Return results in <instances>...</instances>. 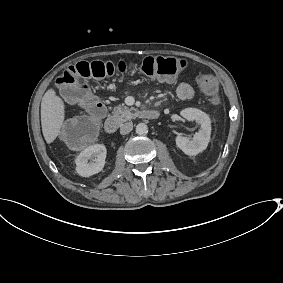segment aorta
<instances>
[{
  "mask_svg": "<svg viewBox=\"0 0 283 283\" xmlns=\"http://www.w3.org/2000/svg\"><path fill=\"white\" fill-rule=\"evenodd\" d=\"M148 132V127L145 123H139L136 126V133L138 135H145Z\"/></svg>",
  "mask_w": 283,
  "mask_h": 283,
  "instance_id": "1",
  "label": "aorta"
}]
</instances>
